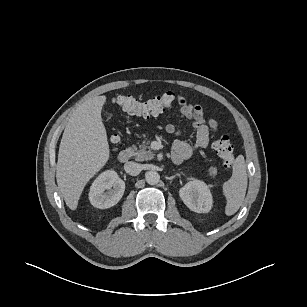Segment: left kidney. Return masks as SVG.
I'll return each mask as SVG.
<instances>
[{
    "label": "left kidney",
    "instance_id": "left-kidney-1",
    "mask_svg": "<svg viewBox=\"0 0 307 307\" xmlns=\"http://www.w3.org/2000/svg\"><path fill=\"white\" fill-rule=\"evenodd\" d=\"M179 195L184 204L197 213H207L211 210L213 200L209 186L200 180H193L185 184Z\"/></svg>",
    "mask_w": 307,
    "mask_h": 307
}]
</instances>
